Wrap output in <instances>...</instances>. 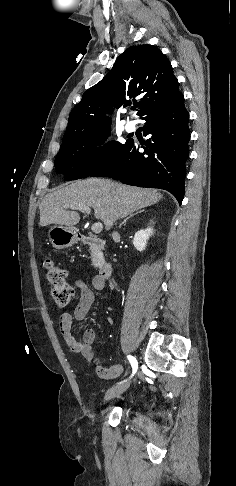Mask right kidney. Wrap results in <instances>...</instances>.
I'll use <instances>...</instances> for the list:
<instances>
[{
  "instance_id": "1",
  "label": "right kidney",
  "mask_w": 236,
  "mask_h": 486,
  "mask_svg": "<svg viewBox=\"0 0 236 486\" xmlns=\"http://www.w3.org/2000/svg\"><path fill=\"white\" fill-rule=\"evenodd\" d=\"M153 234V228L149 227L145 230H139L135 233L133 238L134 247L142 252L146 248L147 240Z\"/></svg>"
}]
</instances>
